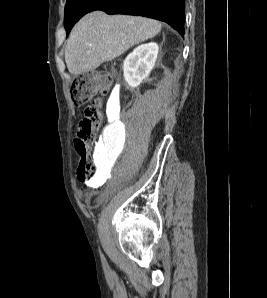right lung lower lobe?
Returning <instances> with one entry per match:
<instances>
[{"instance_id":"98d812e1","label":"right lung lower lobe","mask_w":267,"mask_h":298,"mask_svg":"<svg viewBox=\"0 0 267 298\" xmlns=\"http://www.w3.org/2000/svg\"><path fill=\"white\" fill-rule=\"evenodd\" d=\"M94 10L154 18L166 22L181 35L185 33V0H98L90 12Z\"/></svg>"}]
</instances>
